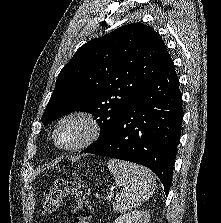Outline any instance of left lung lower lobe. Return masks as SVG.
Listing matches in <instances>:
<instances>
[{
	"instance_id": "left-lung-lower-lobe-1",
	"label": "left lung lower lobe",
	"mask_w": 221,
	"mask_h": 223,
	"mask_svg": "<svg viewBox=\"0 0 221 223\" xmlns=\"http://www.w3.org/2000/svg\"><path fill=\"white\" fill-rule=\"evenodd\" d=\"M182 117V95L168 54L158 75L126 109L112 132L84 153L144 165L159 177L168 194Z\"/></svg>"
}]
</instances>
